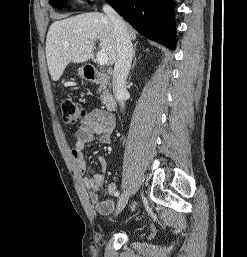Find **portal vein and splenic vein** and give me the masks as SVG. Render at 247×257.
<instances>
[{"label":"portal vein and splenic vein","instance_id":"obj_1","mask_svg":"<svg viewBox=\"0 0 247 257\" xmlns=\"http://www.w3.org/2000/svg\"><path fill=\"white\" fill-rule=\"evenodd\" d=\"M85 43L89 44V41H85ZM66 45H69V44H66ZM96 58H97L98 64L101 66L106 65L108 63V57L102 51L97 52Z\"/></svg>","mask_w":247,"mask_h":257}]
</instances>
